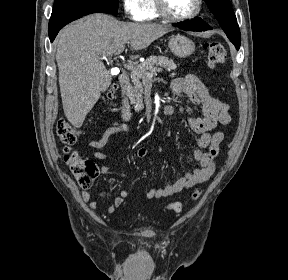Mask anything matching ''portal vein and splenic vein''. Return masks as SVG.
<instances>
[{
    "instance_id": "18ae733b",
    "label": "portal vein and splenic vein",
    "mask_w": 288,
    "mask_h": 280,
    "mask_svg": "<svg viewBox=\"0 0 288 280\" xmlns=\"http://www.w3.org/2000/svg\"><path fill=\"white\" fill-rule=\"evenodd\" d=\"M124 47H125V46H122L121 49H119L118 51H116V52L114 53V55L120 54V53L123 51ZM103 58H105V57H103ZM125 68L128 69V70H130V71H132V72H136V71H137L136 66L133 65V64H126V65H125ZM161 71H162L161 69L153 70L151 73L147 74V78L150 80V79H152V77H153V75L155 74V72H161Z\"/></svg>"
}]
</instances>
